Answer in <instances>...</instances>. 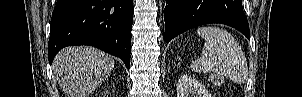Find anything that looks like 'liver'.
<instances>
[{
	"mask_svg": "<svg viewBox=\"0 0 302 97\" xmlns=\"http://www.w3.org/2000/svg\"><path fill=\"white\" fill-rule=\"evenodd\" d=\"M114 68L111 55L93 47H67L53 61L54 75L68 97H88Z\"/></svg>",
	"mask_w": 302,
	"mask_h": 97,
	"instance_id": "1",
	"label": "liver"
}]
</instances>
